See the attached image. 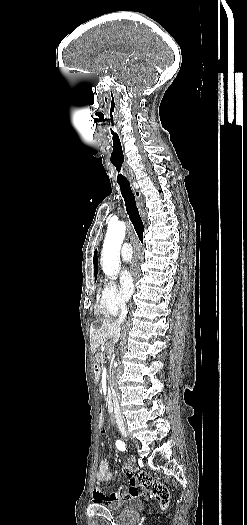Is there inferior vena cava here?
I'll list each match as a JSON object with an SVG mask.
<instances>
[{"mask_svg":"<svg viewBox=\"0 0 247 525\" xmlns=\"http://www.w3.org/2000/svg\"><path fill=\"white\" fill-rule=\"evenodd\" d=\"M127 315H128V309L126 307V303H120V315L116 323H124ZM115 397H117V395H115Z\"/></svg>","mask_w":247,"mask_h":525,"instance_id":"602c4592","label":"inferior vena cava"}]
</instances>
